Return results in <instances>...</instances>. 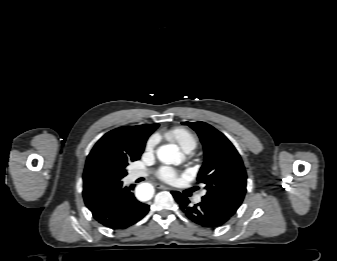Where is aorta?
I'll list each match as a JSON object with an SVG mask.
<instances>
[{"mask_svg":"<svg viewBox=\"0 0 337 261\" xmlns=\"http://www.w3.org/2000/svg\"><path fill=\"white\" fill-rule=\"evenodd\" d=\"M156 153L158 159L165 164L179 165L184 160V155L175 144L162 145ZM135 193L139 200L146 201L152 198L154 188L149 183H141L136 187Z\"/></svg>","mask_w":337,"mask_h":261,"instance_id":"762f6f07","label":"aorta"}]
</instances>
